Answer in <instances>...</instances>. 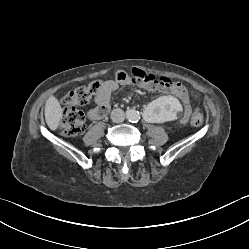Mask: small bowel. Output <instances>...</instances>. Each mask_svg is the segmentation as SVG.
Listing matches in <instances>:
<instances>
[{"instance_id": "obj_1", "label": "small bowel", "mask_w": 249, "mask_h": 249, "mask_svg": "<svg viewBox=\"0 0 249 249\" xmlns=\"http://www.w3.org/2000/svg\"><path fill=\"white\" fill-rule=\"evenodd\" d=\"M138 84H142L150 89H157L160 95H166L169 92L179 98L182 104V121H186L190 114V107L188 101L184 95L183 86L179 83L173 82L167 78H163L161 84L157 85V80L145 74L142 68L136 67L132 70L131 74H127L124 71H117L113 80L104 81L102 90L95 96L96 107L88 111V118L91 120L105 119L110 111V99L114 92L118 90L120 86H132L135 87Z\"/></svg>"}]
</instances>
